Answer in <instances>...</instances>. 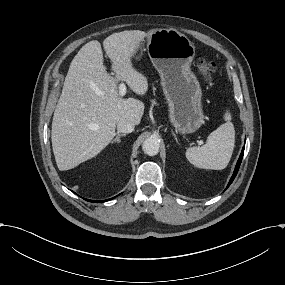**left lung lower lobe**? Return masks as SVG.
I'll use <instances>...</instances> for the list:
<instances>
[{"label": "left lung lower lobe", "mask_w": 285, "mask_h": 285, "mask_svg": "<svg viewBox=\"0 0 285 285\" xmlns=\"http://www.w3.org/2000/svg\"><path fill=\"white\" fill-rule=\"evenodd\" d=\"M243 154H244V147H243V149L241 151V154H240L239 160H238V162L236 164L234 173H233L232 177L230 178V181H229L228 186L226 187V189L230 186V184L233 182V180L235 179V177H236V175L238 173V170H239L242 158H243Z\"/></svg>", "instance_id": "obj_1"}]
</instances>
